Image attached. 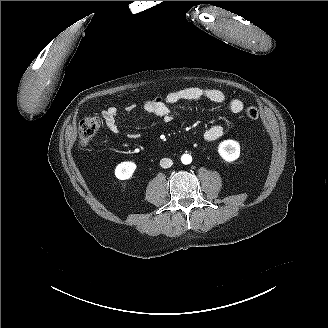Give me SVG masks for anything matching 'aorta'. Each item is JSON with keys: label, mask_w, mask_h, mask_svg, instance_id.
<instances>
[{"label": "aorta", "mask_w": 328, "mask_h": 328, "mask_svg": "<svg viewBox=\"0 0 328 328\" xmlns=\"http://www.w3.org/2000/svg\"><path fill=\"white\" fill-rule=\"evenodd\" d=\"M181 161L183 164L188 165L192 162V157L189 154H184L181 157Z\"/></svg>", "instance_id": "obj_1"}]
</instances>
